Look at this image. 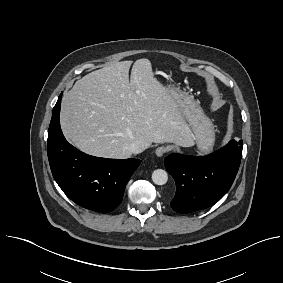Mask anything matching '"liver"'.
I'll use <instances>...</instances> for the list:
<instances>
[{
	"label": "liver",
	"instance_id": "1",
	"mask_svg": "<svg viewBox=\"0 0 283 283\" xmlns=\"http://www.w3.org/2000/svg\"><path fill=\"white\" fill-rule=\"evenodd\" d=\"M121 61L93 71L65 93L61 102L63 134L81 151L127 159L138 142L195 144L192 130L169 89L153 74L151 62Z\"/></svg>",
	"mask_w": 283,
	"mask_h": 283
}]
</instances>
